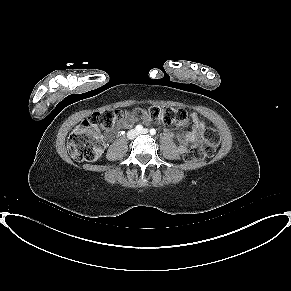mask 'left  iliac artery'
Listing matches in <instances>:
<instances>
[{
    "label": "left iliac artery",
    "instance_id": "left-iliac-artery-1",
    "mask_svg": "<svg viewBox=\"0 0 291 291\" xmlns=\"http://www.w3.org/2000/svg\"><path fill=\"white\" fill-rule=\"evenodd\" d=\"M150 134H151V135H155V134H156V130L152 128V129L150 130Z\"/></svg>",
    "mask_w": 291,
    "mask_h": 291
}]
</instances>
